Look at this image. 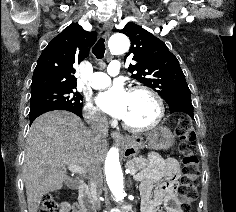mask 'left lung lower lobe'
Returning a JSON list of instances; mask_svg holds the SVG:
<instances>
[{"label": "left lung lower lobe", "mask_w": 236, "mask_h": 212, "mask_svg": "<svg viewBox=\"0 0 236 212\" xmlns=\"http://www.w3.org/2000/svg\"><path fill=\"white\" fill-rule=\"evenodd\" d=\"M170 113L183 112L194 119L191 93L176 94L167 101Z\"/></svg>", "instance_id": "left-lung-lower-lobe-1"}]
</instances>
